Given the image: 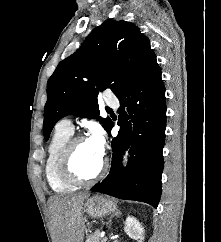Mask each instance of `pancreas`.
Segmentation results:
<instances>
[{"label":"pancreas","mask_w":221,"mask_h":242,"mask_svg":"<svg viewBox=\"0 0 221 242\" xmlns=\"http://www.w3.org/2000/svg\"><path fill=\"white\" fill-rule=\"evenodd\" d=\"M105 239L100 238V234L98 232L93 233L89 237H87L86 242H105Z\"/></svg>","instance_id":"obj_1"}]
</instances>
